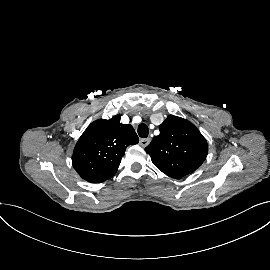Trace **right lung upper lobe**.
Returning <instances> with one entry per match:
<instances>
[{
	"mask_svg": "<svg viewBox=\"0 0 270 270\" xmlns=\"http://www.w3.org/2000/svg\"><path fill=\"white\" fill-rule=\"evenodd\" d=\"M138 141L133 127L120 123V115L98 119L79 138L72 156L73 167L84 180L101 183L115 175L126 148Z\"/></svg>",
	"mask_w": 270,
	"mask_h": 270,
	"instance_id": "1",
	"label": "right lung upper lobe"
}]
</instances>
